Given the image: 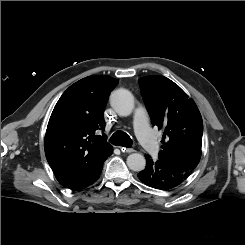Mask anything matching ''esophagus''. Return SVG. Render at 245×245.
I'll list each match as a JSON object with an SVG mask.
<instances>
[{"instance_id": "esophagus-1", "label": "esophagus", "mask_w": 245, "mask_h": 245, "mask_svg": "<svg viewBox=\"0 0 245 245\" xmlns=\"http://www.w3.org/2000/svg\"><path fill=\"white\" fill-rule=\"evenodd\" d=\"M120 150L123 153H131V152H134V149L133 148L120 147Z\"/></svg>"}]
</instances>
